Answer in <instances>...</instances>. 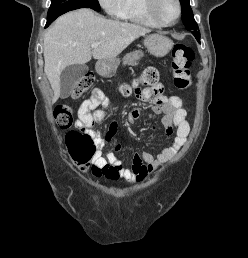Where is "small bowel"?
Wrapping results in <instances>:
<instances>
[{
    "instance_id": "obj_1",
    "label": "small bowel",
    "mask_w": 248,
    "mask_h": 258,
    "mask_svg": "<svg viewBox=\"0 0 248 258\" xmlns=\"http://www.w3.org/2000/svg\"><path fill=\"white\" fill-rule=\"evenodd\" d=\"M137 96L143 103H149L152 96L155 100L152 105L154 113H162V124L165 135L175 134L174 140L169 147L164 148L157 156L149 152L135 153L132 158V166L126 168L121 160L114 154L108 153L105 157L98 151L94 163L100 169L112 168L117 170L118 177H106L111 180L119 178L130 184H139L145 181L147 176L158 167L174 158L176 153L185 144L190 132L189 123L186 120L187 112L183 107L182 99L178 96L166 97L162 94V86L154 88H144L137 92ZM111 101L100 89H93L88 99L84 100L78 108V119L75 122V129L87 132L100 149L110 141L118 129V123L113 121L108 129L105 139L99 131L94 129V125L100 123L105 118L104 109L109 107ZM141 112L137 109L129 113V120L138 119Z\"/></svg>"
}]
</instances>
